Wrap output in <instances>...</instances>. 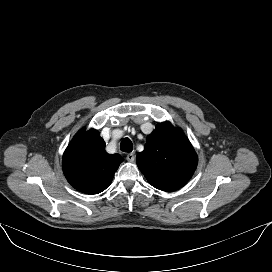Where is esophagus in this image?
I'll return each mask as SVG.
<instances>
[{
  "label": "esophagus",
  "mask_w": 272,
  "mask_h": 272,
  "mask_svg": "<svg viewBox=\"0 0 272 272\" xmlns=\"http://www.w3.org/2000/svg\"><path fill=\"white\" fill-rule=\"evenodd\" d=\"M126 159L129 162H133L135 160V153L134 152L128 153L127 156H126Z\"/></svg>",
  "instance_id": "obj_1"
}]
</instances>
